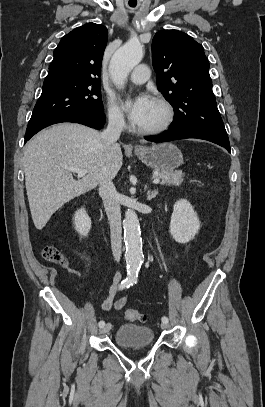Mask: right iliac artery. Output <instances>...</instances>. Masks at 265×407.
<instances>
[{"mask_svg": "<svg viewBox=\"0 0 265 407\" xmlns=\"http://www.w3.org/2000/svg\"><path fill=\"white\" fill-rule=\"evenodd\" d=\"M133 285V281L132 280H130V279H125V280H123L122 282H121V284H120V286H119V289H124V288H129L130 286H132ZM98 325H99V327L100 328H102L104 325H105V322L103 321V320H101L99 323H98Z\"/></svg>", "mask_w": 265, "mask_h": 407, "instance_id": "1", "label": "right iliac artery"}]
</instances>
